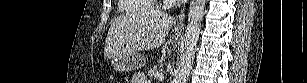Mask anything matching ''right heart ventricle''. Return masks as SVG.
<instances>
[{
  "label": "right heart ventricle",
  "instance_id": "1",
  "mask_svg": "<svg viewBox=\"0 0 307 83\" xmlns=\"http://www.w3.org/2000/svg\"><path fill=\"white\" fill-rule=\"evenodd\" d=\"M154 8L151 0H120V10L128 14L148 12Z\"/></svg>",
  "mask_w": 307,
  "mask_h": 83
}]
</instances>
